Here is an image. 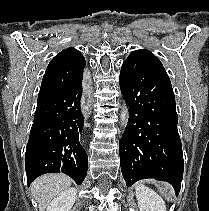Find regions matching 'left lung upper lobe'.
<instances>
[{
    "mask_svg": "<svg viewBox=\"0 0 209 211\" xmlns=\"http://www.w3.org/2000/svg\"><path fill=\"white\" fill-rule=\"evenodd\" d=\"M131 54H136L138 56H141L144 60H146L152 66H154L155 68L163 72L165 75H167L160 60L155 55H153L150 51L141 49V50H135Z\"/></svg>",
    "mask_w": 209,
    "mask_h": 211,
    "instance_id": "5c2ea615",
    "label": "left lung upper lobe"
}]
</instances>
